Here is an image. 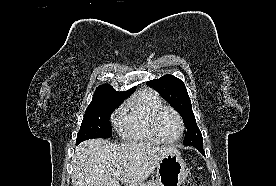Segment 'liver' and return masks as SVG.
I'll return each mask as SVG.
<instances>
[{"mask_svg":"<svg viewBox=\"0 0 276 186\" xmlns=\"http://www.w3.org/2000/svg\"><path fill=\"white\" fill-rule=\"evenodd\" d=\"M175 147L153 146L147 143H112L103 139H90L75 149L73 160V186H120L114 173L122 172V182L139 186L161 160Z\"/></svg>","mask_w":276,"mask_h":186,"instance_id":"6515ba94","label":"liver"}]
</instances>
